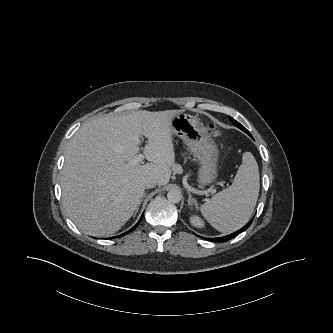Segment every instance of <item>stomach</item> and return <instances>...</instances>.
Instances as JSON below:
<instances>
[{"mask_svg": "<svg viewBox=\"0 0 333 333\" xmlns=\"http://www.w3.org/2000/svg\"><path fill=\"white\" fill-rule=\"evenodd\" d=\"M171 127L199 162V183L203 186L213 183L218 176L219 151L207 128L197 117L183 112L172 118Z\"/></svg>", "mask_w": 333, "mask_h": 333, "instance_id": "obj_1", "label": "stomach"}]
</instances>
